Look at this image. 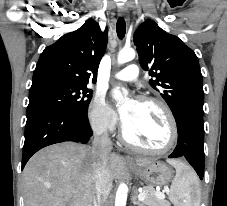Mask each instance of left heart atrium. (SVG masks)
<instances>
[{
	"label": "left heart atrium",
	"instance_id": "obj_1",
	"mask_svg": "<svg viewBox=\"0 0 227 206\" xmlns=\"http://www.w3.org/2000/svg\"><path fill=\"white\" fill-rule=\"evenodd\" d=\"M130 103H131V106L128 109H125L122 112V115H121V120H122L124 127L129 123V121L132 117V114H133V107L137 102L133 101V102H130Z\"/></svg>",
	"mask_w": 227,
	"mask_h": 206
}]
</instances>
